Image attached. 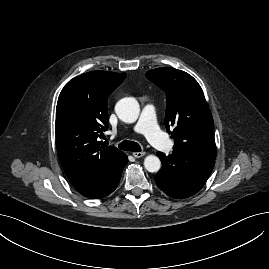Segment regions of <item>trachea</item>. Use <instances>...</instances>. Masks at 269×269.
Segmentation results:
<instances>
[{
	"label": "trachea",
	"instance_id": "trachea-1",
	"mask_svg": "<svg viewBox=\"0 0 269 269\" xmlns=\"http://www.w3.org/2000/svg\"><path fill=\"white\" fill-rule=\"evenodd\" d=\"M118 147L124 151H131V152H140L141 151V147L138 143L133 142V141H128V140L122 141L118 145Z\"/></svg>",
	"mask_w": 269,
	"mask_h": 269
}]
</instances>
